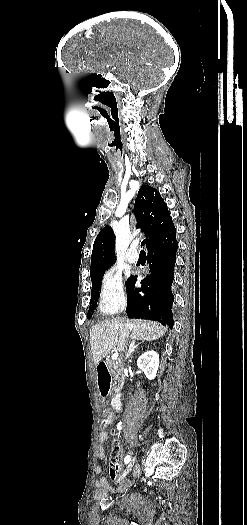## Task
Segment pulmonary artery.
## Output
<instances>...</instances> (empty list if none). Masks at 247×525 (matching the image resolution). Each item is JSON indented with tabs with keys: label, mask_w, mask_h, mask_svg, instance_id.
Returning a JSON list of instances; mask_svg holds the SVG:
<instances>
[{
	"label": "pulmonary artery",
	"mask_w": 247,
	"mask_h": 525,
	"mask_svg": "<svg viewBox=\"0 0 247 525\" xmlns=\"http://www.w3.org/2000/svg\"><path fill=\"white\" fill-rule=\"evenodd\" d=\"M125 254L128 257V261H137L139 258L138 253L132 247L127 248Z\"/></svg>",
	"instance_id": "1"
}]
</instances>
